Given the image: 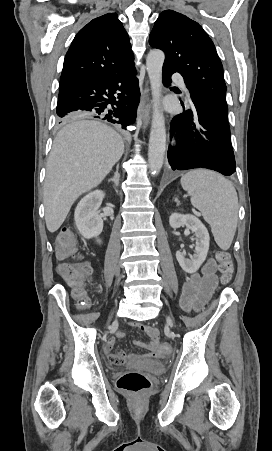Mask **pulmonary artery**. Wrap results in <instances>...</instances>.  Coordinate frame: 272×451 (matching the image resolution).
<instances>
[{"label": "pulmonary artery", "instance_id": "e3ab8cb5", "mask_svg": "<svg viewBox=\"0 0 272 451\" xmlns=\"http://www.w3.org/2000/svg\"><path fill=\"white\" fill-rule=\"evenodd\" d=\"M173 74L175 75L174 76V79L176 80L175 86L177 87L178 91L181 93L184 92L186 89V86H185L186 83L184 81V79H185L184 74L177 73L176 71Z\"/></svg>", "mask_w": 272, "mask_h": 451}]
</instances>
